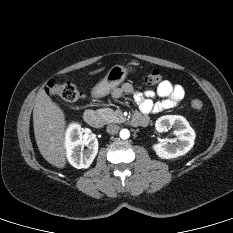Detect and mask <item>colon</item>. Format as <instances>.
<instances>
[{
	"mask_svg": "<svg viewBox=\"0 0 233 233\" xmlns=\"http://www.w3.org/2000/svg\"><path fill=\"white\" fill-rule=\"evenodd\" d=\"M163 75L158 70H152L144 76V82L148 85H156L162 83ZM46 92L50 96L59 97L66 102H76L83 98V93L73 83L69 81L58 82L51 80L46 86ZM192 109L199 111L203 107V102L200 99H194L191 102Z\"/></svg>",
	"mask_w": 233,
	"mask_h": 233,
	"instance_id": "colon-1",
	"label": "colon"
}]
</instances>
